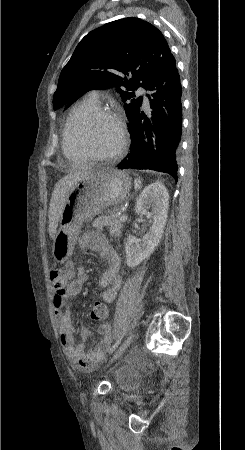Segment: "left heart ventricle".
Instances as JSON below:
<instances>
[{
	"mask_svg": "<svg viewBox=\"0 0 245 450\" xmlns=\"http://www.w3.org/2000/svg\"><path fill=\"white\" fill-rule=\"evenodd\" d=\"M80 140L97 155H107L115 151L120 144V132L117 124L108 119H100L86 128L81 120L75 121Z\"/></svg>",
	"mask_w": 245,
	"mask_h": 450,
	"instance_id": "obj_1",
	"label": "left heart ventricle"
}]
</instances>
